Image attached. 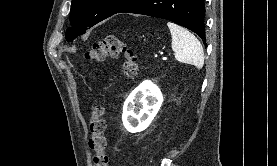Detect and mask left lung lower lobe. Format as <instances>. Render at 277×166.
I'll return each instance as SVG.
<instances>
[{"instance_id":"left-lung-lower-lobe-1","label":"left lung lower lobe","mask_w":277,"mask_h":166,"mask_svg":"<svg viewBox=\"0 0 277 166\" xmlns=\"http://www.w3.org/2000/svg\"><path fill=\"white\" fill-rule=\"evenodd\" d=\"M121 12L170 20L198 34L206 46L203 0H134Z\"/></svg>"}]
</instances>
